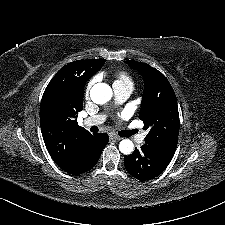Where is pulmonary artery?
I'll use <instances>...</instances> for the list:
<instances>
[{
	"label": "pulmonary artery",
	"mask_w": 225,
	"mask_h": 225,
	"mask_svg": "<svg viewBox=\"0 0 225 225\" xmlns=\"http://www.w3.org/2000/svg\"><path fill=\"white\" fill-rule=\"evenodd\" d=\"M115 97L118 103L126 101L133 92V87L131 86H113ZM104 115H94L82 121V125L85 127L99 125L104 121ZM145 133H141L136 137V142L142 145L145 141Z\"/></svg>",
	"instance_id": "pulmonary-artery-1"
}]
</instances>
